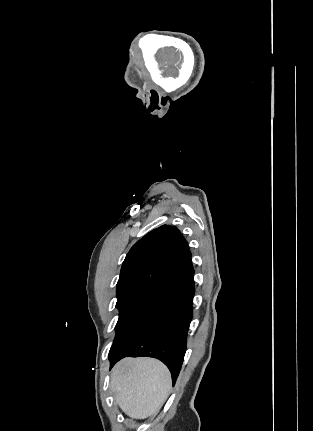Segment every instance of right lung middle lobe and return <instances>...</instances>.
Wrapping results in <instances>:
<instances>
[{
    "mask_svg": "<svg viewBox=\"0 0 313 431\" xmlns=\"http://www.w3.org/2000/svg\"><path fill=\"white\" fill-rule=\"evenodd\" d=\"M148 296L125 295L117 297L116 307L119 309V319L116 324V336L129 322L134 313L143 304Z\"/></svg>",
    "mask_w": 313,
    "mask_h": 431,
    "instance_id": "dd1d6c3e",
    "label": "right lung middle lobe"
}]
</instances>
